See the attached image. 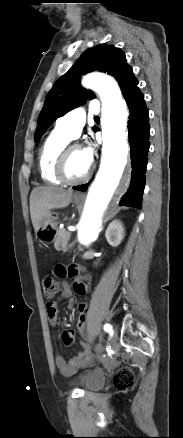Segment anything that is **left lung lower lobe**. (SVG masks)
Masks as SVG:
<instances>
[{
  "label": "left lung lower lobe",
  "mask_w": 183,
  "mask_h": 438,
  "mask_svg": "<svg viewBox=\"0 0 183 438\" xmlns=\"http://www.w3.org/2000/svg\"><path fill=\"white\" fill-rule=\"evenodd\" d=\"M138 80L133 78L124 88L123 96L128 104L130 116L128 121V138L131 151L132 175L127 193L122 197L120 205L141 208V197L145 186V170L147 152L149 150L148 110L144 96L137 87ZM89 183L75 186L73 189L86 191Z\"/></svg>",
  "instance_id": "obj_1"
}]
</instances>
